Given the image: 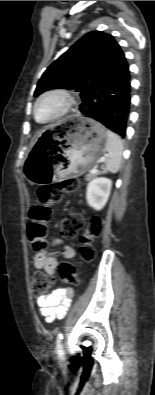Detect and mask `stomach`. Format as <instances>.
<instances>
[{"mask_svg":"<svg viewBox=\"0 0 155 395\" xmlns=\"http://www.w3.org/2000/svg\"><path fill=\"white\" fill-rule=\"evenodd\" d=\"M49 136L39 140L25 160L24 175L32 184L84 173L104 150L107 130L91 118L72 115L60 132Z\"/></svg>","mask_w":155,"mask_h":395,"instance_id":"0dacf381","label":"stomach"}]
</instances>
